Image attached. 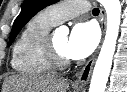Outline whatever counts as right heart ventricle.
Listing matches in <instances>:
<instances>
[{
    "instance_id": "obj_1",
    "label": "right heart ventricle",
    "mask_w": 127,
    "mask_h": 92,
    "mask_svg": "<svg viewBox=\"0 0 127 92\" xmlns=\"http://www.w3.org/2000/svg\"><path fill=\"white\" fill-rule=\"evenodd\" d=\"M55 25L57 23L46 11L26 23L12 49L11 65L17 73L41 75L54 71L46 56L45 43Z\"/></svg>"
}]
</instances>
